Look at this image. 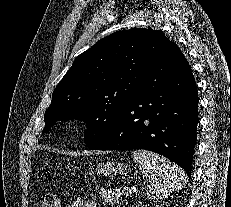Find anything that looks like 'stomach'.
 <instances>
[{"mask_svg":"<svg viewBox=\"0 0 231 207\" xmlns=\"http://www.w3.org/2000/svg\"><path fill=\"white\" fill-rule=\"evenodd\" d=\"M124 167L117 162L98 163L96 171L105 176H117L124 173Z\"/></svg>","mask_w":231,"mask_h":207,"instance_id":"stomach-1","label":"stomach"}]
</instances>
